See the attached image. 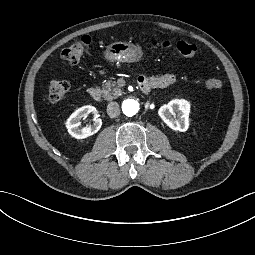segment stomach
I'll use <instances>...</instances> for the list:
<instances>
[{
	"label": "stomach",
	"instance_id": "1",
	"mask_svg": "<svg viewBox=\"0 0 255 255\" xmlns=\"http://www.w3.org/2000/svg\"><path fill=\"white\" fill-rule=\"evenodd\" d=\"M143 51L140 46L126 42H114L106 47L104 57L110 62H137L141 60Z\"/></svg>",
	"mask_w": 255,
	"mask_h": 255
}]
</instances>
